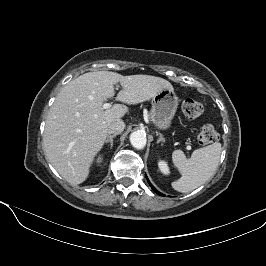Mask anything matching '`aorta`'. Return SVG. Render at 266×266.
Here are the masks:
<instances>
[{
	"label": "aorta",
	"instance_id": "762f6f07",
	"mask_svg": "<svg viewBox=\"0 0 266 266\" xmlns=\"http://www.w3.org/2000/svg\"><path fill=\"white\" fill-rule=\"evenodd\" d=\"M146 136L142 132H133L130 135V142L136 149H143L146 146Z\"/></svg>",
	"mask_w": 266,
	"mask_h": 266
}]
</instances>
